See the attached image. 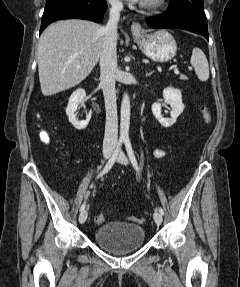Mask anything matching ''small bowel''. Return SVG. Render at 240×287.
<instances>
[{"label": "small bowel", "mask_w": 240, "mask_h": 287, "mask_svg": "<svg viewBox=\"0 0 240 287\" xmlns=\"http://www.w3.org/2000/svg\"><path fill=\"white\" fill-rule=\"evenodd\" d=\"M154 155H155V157H157V158H162V157H164V156L166 155V151L163 150V149H156V150L154 151Z\"/></svg>", "instance_id": "small-bowel-1"}]
</instances>
